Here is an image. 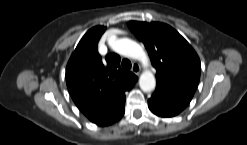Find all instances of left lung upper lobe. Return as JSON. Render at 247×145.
I'll return each mask as SVG.
<instances>
[{"label": "left lung upper lobe", "mask_w": 247, "mask_h": 145, "mask_svg": "<svg viewBox=\"0 0 247 145\" xmlns=\"http://www.w3.org/2000/svg\"><path fill=\"white\" fill-rule=\"evenodd\" d=\"M156 68L157 85L193 97L200 79V60L191 45L172 27L157 22L130 21Z\"/></svg>", "instance_id": "left-lung-upper-lobe-1"}]
</instances>
